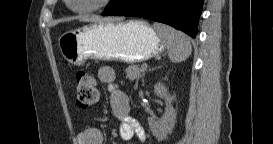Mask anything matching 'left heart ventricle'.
Returning <instances> with one entry per match:
<instances>
[{"label": "left heart ventricle", "mask_w": 273, "mask_h": 144, "mask_svg": "<svg viewBox=\"0 0 273 144\" xmlns=\"http://www.w3.org/2000/svg\"><path fill=\"white\" fill-rule=\"evenodd\" d=\"M97 0H71L72 5L76 8H84L93 5Z\"/></svg>", "instance_id": "obj_1"}]
</instances>
